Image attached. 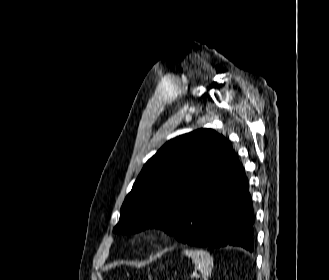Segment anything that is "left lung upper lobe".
I'll return each instance as SVG.
<instances>
[{"instance_id":"obj_1","label":"left lung upper lobe","mask_w":329,"mask_h":280,"mask_svg":"<svg viewBox=\"0 0 329 280\" xmlns=\"http://www.w3.org/2000/svg\"><path fill=\"white\" fill-rule=\"evenodd\" d=\"M235 157L229 141L212 129L170 140L144 165L113 232L130 234L148 227L172 231L205 195L220 189Z\"/></svg>"}]
</instances>
